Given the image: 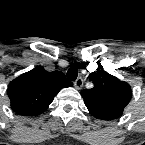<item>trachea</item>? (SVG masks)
<instances>
[{"label":"trachea","instance_id":"obj_1","mask_svg":"<svg viewBox=\"0 0 145 145\" xmlns=\"http://www.w3.org/2000/svg\"><path fill=\"white\" fill-rule=\"evenodd\" d=\"M78 71L75 67H70L67 71V78L71 81H74L77 79Z\"/></svg>","mask_w":145,"mask_h":145}]
</instances>
